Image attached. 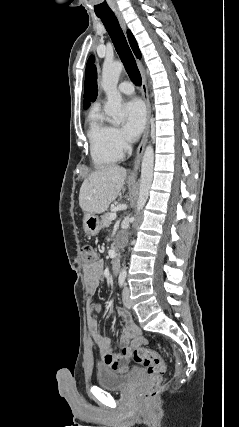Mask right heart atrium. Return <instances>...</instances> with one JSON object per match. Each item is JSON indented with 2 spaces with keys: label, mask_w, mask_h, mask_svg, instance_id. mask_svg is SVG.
<instances>
[{
  "label": "right heart atrium",
  "mask_w": 239,
  "mask_h": 427,
  "mask_svg": "<svg viewBox=\"0 0 239 427\" xmlns=\"http://www.w3.org/2000/svg\"><path fill=\"white\" fill-rule=\"evenodd\" d=\"M112 139L114 142V145L117 147V149L123 153L128 150L129 148V142L124 135V133L116 127L112 128Z\"/></svg>",
  "instance_id": "1"
}]
</instances>
